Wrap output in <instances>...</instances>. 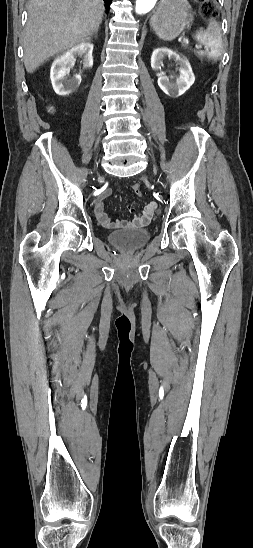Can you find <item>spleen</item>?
Returning a JSON list of instances; mask_svg holds the SVG:
<instances>
[{
	"label": "spleen",
	"instance_id": "3e777b00",
	"mask_svg": "<svg viewBox=\"0 0 253 548\" xmlns=\"http://www.w3.org/2000/svg\"><path fill=\"white\" fill-rule=\"evenodd\" d=\"M197 41L205 46V51L199 55H207L212 59H219L223 52V43L218 23L211 19L206 30L200 29L195 35Z\"/></svg>",
	"mask_w": 253,
	"mask_h": 548
}]
</instances>
